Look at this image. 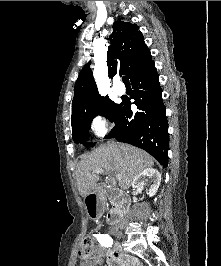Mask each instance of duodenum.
<instances>
[{
  "instance_id": "duodenum-1",
  "label": "duodenum",
  "mask_w": 221,
  "mask_h": 266,
  "mask_svg": "<svg viewBox=\"0 0 221 266\" xmlns=\"http://www.w3.org/2000/svg\"><path fill=\"white\" fill-rule=\"evenodd\" d=\"M119 201L124 202V197L116 190L108 191L103 185L96 186L95 189H88L87 198L85 201V206L87 210V216L90 219H99L102 216L103 206H105V201L103 199L107 194ZM123 213V206L109 210L106 215L107 223L109 225H116Z\"/></svg>"
}]
</instances>
